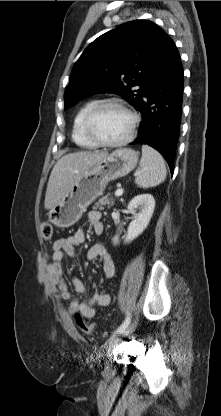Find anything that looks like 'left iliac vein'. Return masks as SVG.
Wrapping results in <instances>:
<instances>
[{
    "mask_svg": "<svg viewBox=\"0 0 221 416\" xmlns=\"http://www.w3.org/2000/svg\"><path fill=\"white\" fill-rule=\"evenodd\" d=\"M135 326H136V322H133L125 330L118 333V335H113L108 341V345H107L108 351L113 350L120 343V336H128L130 333H132Z\"/></svg>",
    "mask_w": 221,
    "mask_h": 416,
    "instance_id": "4c4485c4",
    "label": "left iliac vein"
}]
</instances>
